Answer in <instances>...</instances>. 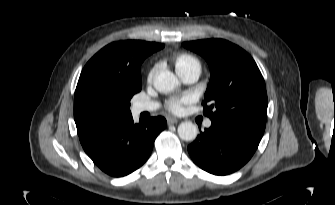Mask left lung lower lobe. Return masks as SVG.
I'll use <instances>...</instances> for the list:
<instances>
[{
	"label": "left lung lower lobe",
	"instance_id": "obj_1",
	"mask_svg": "<svg viewBox=\"0 0 335 205\" xmlns=\"http://www.w3.org/2000/svg\"><path fill=\"white\" fill-rule=\"evenodd\" d=\"M211 121V127L200 132L188 146L189 154L200 168L211 174L233 173L250 160L264 131L224 118Z\"/></svg>",
	"mask_w": 335,
	"mask_h": 205
}]
</instances>
